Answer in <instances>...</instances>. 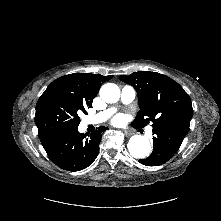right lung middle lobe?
Instances as JSON below:
<instances>
[{
  "instance_id": "1",
  "label": "right lung middle lobe",
  "mask_w": 221,
  "mask_h": 221,
  "mask_svg": "<svg viewBox=\"0 0 221 221\" xmlns=\"http://www.w3.org/2000/svg\"><path fill=\"white\" fill-rule=\"evenodd\" d=\"M87 107L84 102L63 90L45 91L37 102L35 114L40 141L59 132L77 129L80 123L78 114H86Z\"/></svg>"
}]
</instances>
